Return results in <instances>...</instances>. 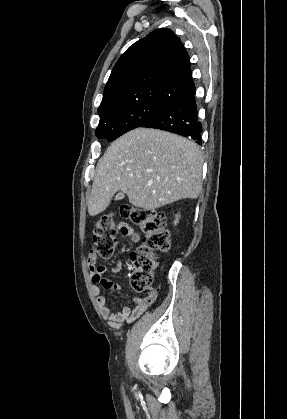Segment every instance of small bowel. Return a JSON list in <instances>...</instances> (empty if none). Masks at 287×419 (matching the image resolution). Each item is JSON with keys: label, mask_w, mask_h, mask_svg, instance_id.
I'll list each match as a JSON object with an SVG mask.
<instances>
[{"label": "small bowel", "mask_w": 287, "mask_h": 419, "mask_svg": "<svg viewBox=\"0 0 287 419\" xmlns=\"http://www.w3.org/2000/svg\"><path fill=\"white\" fill-rule=\"evenodd\" d=\"M119 229L123 236L131 238L133 242H139L141 240L140 234L128 224L121 223ZM87 263L91 273V280L94 284L93 293L96 296L97 305L103 318H105L112 327H120L125 322L130 323L136 320L155 301L156 293L150 292L143 298L132 297L129 304L124 305L118 311H111L106 304V298L101 294L100 286L108 290H121L122 286L105 277L107 269L104 266L97 265L95 254L92 253L89 256ZM120 266L121 261L117 260L111 270L115 272Z\"/></svg>", "instance_id": "1"}]
</instances>
